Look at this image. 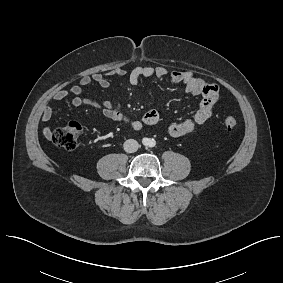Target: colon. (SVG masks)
<instances>
[{
    "label": "colon",
    "mask_w": 283,
    "mask_h": 283,
    "mask_svg": "<svg viewBox=\"0 0 283 283\" xmlns=\"http://www.w3.org/2000/svg\"><path fill=\"white\" fill-rule=\"evenodd\" d=\"M224 125L232 129L237 125V120L234 117H227L224 119ZM83 126L80 122L72 121L69 124L55 129L51 133L52 142L66 150H73L82 133Z\"/></svg>",
    "instance_id": "colon-1"
}]
</instances>
